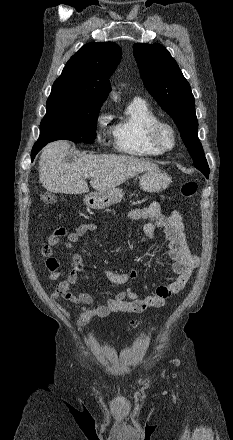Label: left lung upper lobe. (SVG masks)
<instances>
[{
  "label": "left lung upper lobe",
  "instance_id": "1",
  "mask_svg": "<svg viewBox=\"0 0 233 440\" xmlns=\"http://www.w3.org/2000/svg\"><path fill=\"white\" fill-rule=\"evenodd\" d=\"M133 54L145 87L174 120L195 167L208 165L198 139L194 96L176 61L160 44L136 43Z\"/></svg>",
  "mask_w": 233,
  "mask_h": 440
}]
</instances>
